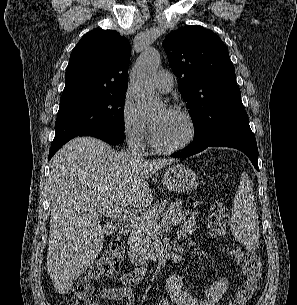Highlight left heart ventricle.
<instances>
[{
	"instance_id": "obj_1",
	"label": "left heart ventricle",
	"mask_w": 297,
	"mask_h": 305,
	"mask_svg": "<svg viewBox=\"0 0 297 305\" xmlns=\"http://www.w3.org/2000/svg\"><path fill=\"white\" fill-rule=\"evenodd\" d=\"M151 124L155 141L164 147L176 145L188 135L185 119L164 109L153 115Z\"/></svg>"
}]
</instances>
